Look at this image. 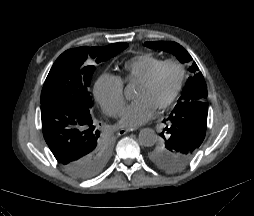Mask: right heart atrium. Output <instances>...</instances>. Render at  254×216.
Segmentation results:
<instances>
[{
	"mask_svg": "<svg viewBox=\"0 0 254 216\" xmlns=\"http://www.w3.org/2000/svg\"><path fill=\"white\" fill-rule=\"evenodd\" d=\"M94 96L102 110L117 116L124 106V84L120 77L104 73L96 81Z\"/></svg>",
	"mask_w": 254,
	"mask_h": 216,
	"instance_id": "obj_1",
	"label": "right heart atrium"
}]
</instances>
